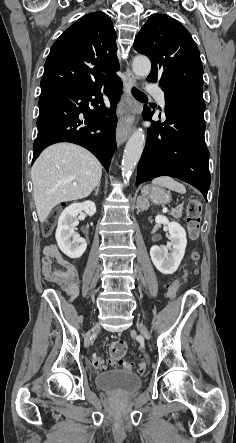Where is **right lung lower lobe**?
Returning <instances> with one entry per match:
<instances>
[{
	"label": "right lung lower lobe",
	"mask_w": 236,
	"mask_h": 443,
	"mask_svg": "<svg viewBox=\"0 0 236 443\" xmlns=\"http://www.w3.org/2000/svg\"><path fill=\"white\" fill-rule=\"evenodd\" d=\"M101 88L111 103L110 111L103 102ZM121 90L122 82L118 75L91 86L41 89L33 162L46 147L58 142H71L88 149L108 171L116 148L117 117L114 109ZM90 102L94 109L89 108ZM96 130L105 134H96Z\"/></svg>",
	"instance_id": "98d812e1"
}]
</instances>
